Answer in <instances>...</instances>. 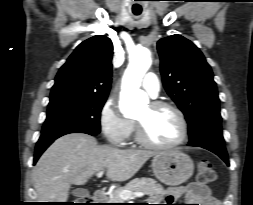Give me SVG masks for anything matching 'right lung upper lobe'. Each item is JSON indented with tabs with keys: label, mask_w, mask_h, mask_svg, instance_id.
<instances>
[{
	"label": "right lung upper lobe",
	"mask_w": 253,
	"mask_h": 205,
	"mask_svg": "<svg viewBox=\"0 0 253 205\" xmlns=\"http://www.w3.org/2000/svg\"><path fill=\"white\" fill-rule=\"evenodd\" d=\"M113 44L105 35L79 44L60 68L50 100L69 96L106 97L111 86Z\"/></svg>",
	"instance_id": "cb5924a9"
}]
</instances>
